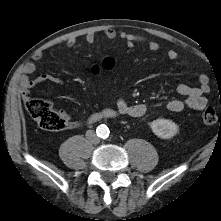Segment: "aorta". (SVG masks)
I'll return each instance as SVG.
<instances>
[{
	"instance_id": "762f6f07",
	"label": "aorta",
	"mask_w": 221,
	"mask_h": 221,
	"mask_svg": "<svg viewBox=\"0 0 221 221\" xmlns=\"http://www.w3.org/2000/svg\"><path fill=\"white\" fill-rule=\"evenodd\" d=\"M109 133V128L106 125L102 124L97 127V134L99 137L107 138L109 136Z\"/></svg>"
}]
</instances>
